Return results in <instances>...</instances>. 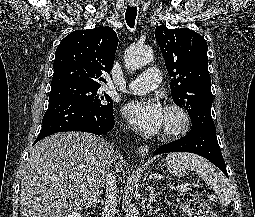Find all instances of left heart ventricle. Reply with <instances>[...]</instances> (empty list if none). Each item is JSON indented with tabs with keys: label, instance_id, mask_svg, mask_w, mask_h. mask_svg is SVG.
Returning a JSON list of instances; mask_svg holds the SVG:
<instances>
[{
	"label": "left heart ventricle",
	"instance_id": "b2bd125f",
	"mask_svg": "<svg viewBox=\"0 0 255 217\" xmlns=\"http://www.w3.org/2000/svg\"><path fill=\"white\" fill-rule=\"evenodd\" d=\"M180 123L179 116L175 112L165 110V117L162 125L161 132L173 129Z\"/></svg>",
	"mask_w": 255,
	"mask_h": 217
}]
</instances>
